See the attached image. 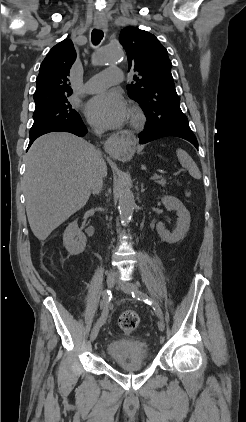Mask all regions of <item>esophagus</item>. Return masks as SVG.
<instances>
[{
	"mask_svg": "<svg viewBox=\"0 0 246 422\" xmlns=\"http://www.w3.org/2000/svg\"><path fill=\"white\" fill-rule=\"evenodd\" d=\"M98 29L107 31L106 25H97ZM104 148L110 155H116L122 148V141L118 135L111 136L104 144Z\"/></svg>",
	"mask_w": 246,
	"mask_h": 422,
	"instance_id": "obj_1",
	"label": "esophagus"
}]
</instances>
